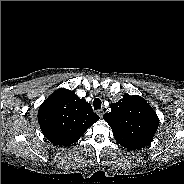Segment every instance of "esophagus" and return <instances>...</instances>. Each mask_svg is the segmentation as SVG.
I'll use <instances>...</instances> for the list:
<instances>
[{
	"label": "esophagus",
	"instance_id": "obj_1",
	"mask_svg": "<svg viewBox=\"0 0 184 184\" xmlns=\"http://www.w3.org/2000/svg\"><path fill=\"white\" fill-rule=\"evenodd\" d=\"M98 115L102 118L103 117V114H104V111L102 109L98 110Z\"/></svg>",
	"mask_w": 184,
	"mask_h": 184
}]
</instances>
